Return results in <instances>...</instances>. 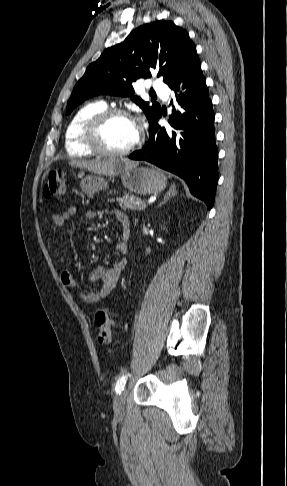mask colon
Returning <instances> with one entry per match:
<instances>
[{"label": "colon", "mask_w": 287, "mask_h": 486, "mask_svg": "<svg viewBox=\"0 0 287 486\" xmlns=\"http://www.w3.org/2000/svg\"><path fill=\"white\" fill-rule=\"evenodd\" d=\"M65 183L63 173L51 171L43 187L45 198L58 197L64 193ZM97 340L100 344H108L112 339V332L115 325L114 318L106 309H100L95 315Z\"/></svg>", "instance_id": "5ec220e1"}]
</instances>
